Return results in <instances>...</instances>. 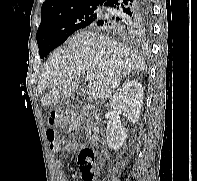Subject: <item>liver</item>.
<instances>
[{
    "instance_id": "liver-1",
    "label": "liver",
    "mask_w": 197,
    "mask_h": 181,
    "mask_svg": "<svg viewBox=\"0 0 197 181\" xmlns=\"http://www.w3.org/2000/svg\"><path fill=\"white\" fill-rule=\"evenodd\" d=\"M144 69V62L130 47L99 33H76L68 39L67 47L56 49L44 65L38 89L51 90L43 95L42 105L57 104L69 97L85 73L95 75L90 95L106 99L122 78Z\"/></svg>"
}]
</instances>
